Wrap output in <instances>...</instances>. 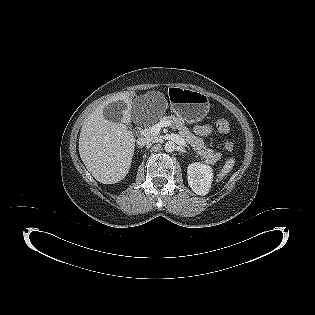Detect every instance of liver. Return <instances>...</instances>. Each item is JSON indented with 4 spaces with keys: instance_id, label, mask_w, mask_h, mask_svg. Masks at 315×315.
I'll use <instances>...</instances> for the list:
<instances>
[{
    "instance_id": "6515ba94",
    "label": "liver",
    "mask_w": 315,
    "mask_h": 315,
    "mask_svg": "<svg viewBox=\"0 0 315 315\" xmlns=\"http://www.w3.org/2000/svg\"><path fill=\"white\" fill-rule=\"evenodd\" d=\"M123 101L126 108L120 123L108 121L104 107ZM132 100L128 93L107 99L84 121L79 137V154L90 174L100 183L114 184L128 174L135 149V137L125 124L131 119Z\"/></svg>"
}]
</instances>
